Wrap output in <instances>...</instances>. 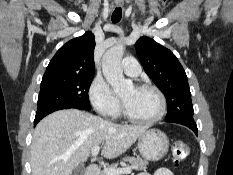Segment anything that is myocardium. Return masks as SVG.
Segmentation results:
<instances>
[{"mask_svg": "<svg viewBox=\"0 0 233 175\" xmlns=\"http://www.w3.org/2000/svg\"><path fill=\"white\" fill-rule=\"evenodd\" d=\"M135 87L137 89H148V90H152L153 92H155L158 99H159V103H160L159 111L157 112L156 115H154L153 117L148 118V119L136 118L128 111L124 100L121 99V110H122L123 116L128 121H130L132 123L145 124V125L153 124V123L159 121L160 119H162L166 113V110H167V101H166V97H165L164 93L161 91V89L153 84H150V83L138 84Z\"/></svg>", "mask_w": 233, "mask_h": 175, "instance_id": "obj_1", "label": "myocardium"}]
</instances>
